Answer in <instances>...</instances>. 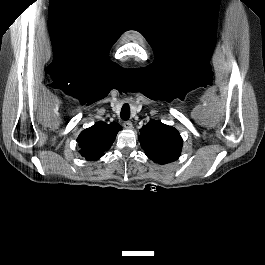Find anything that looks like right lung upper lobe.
Wrapping results in <instances>:
<instances>
[{"label":"right lung upper lobe","mask_w":265,"mask_h":265,"mask_svg":"<svg viewBox=\"0 0 265 265\" xmlns=\"http://www.w3.org/2000/svg\"><path fill=\"white\" fill-rule=\"evenodd\" d=\"M121 129L122 127L116 122L107 124L103 121L85 129L77 139L80 154L89 161L101 158L104 152L110 149Z\"/></svg>","instance_id":"cb5924a9"}]
</instances>
